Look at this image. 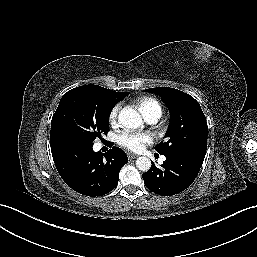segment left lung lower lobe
<instances>
[{
    "instance_id": "0a47b994",
    "label": "left lung lower lobe",
    "mask_w": 257,
    "mask_h": 257,
    "mask_svg": "<svg viewBox=\"0 0 257 257\" xmlns=\"http://www.w3.org/2000/svg\"><path fill=\"white\" fill-rule=\"evenodd\" d=\"M166 161L157 168L152 164L142 175L144 183L152 192L170 196L189 187L198 175L204 159L190 154H164Z\"/></svg>"
}]
</instances>
